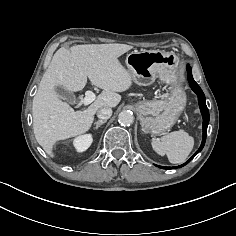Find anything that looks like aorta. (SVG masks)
<instances>
[{
  "label": "aorta",
  "instance_id": "1",
  "mask_svg": "<svg viewBox=\"0 0 236 236\" xmlns=\"http://www.w3.org/2000/svg\"><path fill=\"white\" fill-rule=\"evenodd\" d=\"M118 121L123 126H129L134 122L133 113L129 110H123L118 115Z\"/></svg>",
  "mask_w": 236,
  "mask_h": 236
}]
</instances>
